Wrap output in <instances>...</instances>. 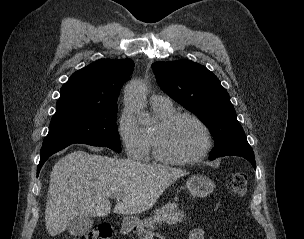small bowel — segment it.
Listing matches in <instances>:
<instances>
[{"mask_svg":"<svg viewBox=\"0 0 304 239\" xmlns=\"http://www.w3.org/2000/svg\"><path fill=\"white\" fill-rule=\"evenodd\" d=\"M205 233L204 230L201 228H194L191 231H189L187 235V239H204Z\"/></svg>","mask_w":304,"mask_h":239,"instance_id":"small-bowel-1","label":"small bowel"}]
</instances>
